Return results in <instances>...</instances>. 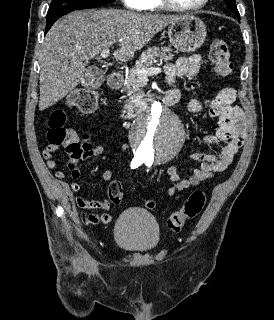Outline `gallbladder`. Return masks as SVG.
<instances>
[{
    "label": "gallbladder",
    "mask_w": 274,
    "mask_h": 320,
    "mask_svg": "<svg viewBox=\"0 0 274 320\" xmlns=\"http://www.w3.org/2000/svg\"><path fill=\"white\" fill-rule=\"evenodd\" d=\"M84 78H79V85H84L85 90H92L93 85H103L106 82L104 68H86Z\"/></svg>",
    "instance_id": "bac80fb5"
}]
</instances>
